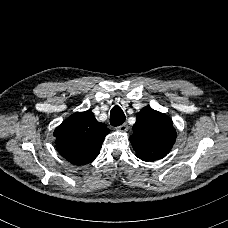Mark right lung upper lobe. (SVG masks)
<instances>
[{"label":"right lung upper lobe","mask_w":228,"mask_h":228,"mask_svg":"<svg viewBox=\"0 0 228 228\" xmlns=\"http://www.w3.org/2000/svg\"><path fill=\"white\" fill-rule=\"evenodd\" d=\"M109 129L97 122L91 111L76 112L54 131L57 151L75 165L92 162L98 155Z\"/></svg>","instance_id":"right-lung-upper-lobe-1"}]
</instances>
